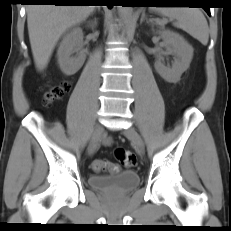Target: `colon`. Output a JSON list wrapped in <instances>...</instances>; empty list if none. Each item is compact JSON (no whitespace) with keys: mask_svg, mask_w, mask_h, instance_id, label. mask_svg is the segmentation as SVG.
Wrapping results in <instances>:
<instances>
[{"mask_svg":"<svg viewBox=\"0 0 231 231\" xmlns=\"http://www.w3.org/2000/svg\"><path fill=\"white\" fill-rule=\"evenodd\" d=\"M70 89L69 82H62L58 85L51 87L44 94V99L47 103H51L57 99L63 97ZM116 156L118 160L126 167H134L136 165L135 154L129 150L118 149L116 151ZM93 170L96 172L102 170H109L111 172L117 171V166L111 162L104 159H98L93 162Z\"/></svg>","mask_w":231,"mask_h":231,"instance_id":"5ec220e1","label":"colon"}]
</instances>
